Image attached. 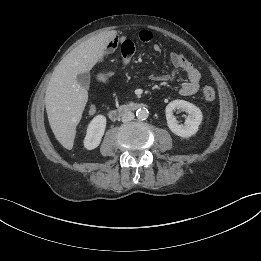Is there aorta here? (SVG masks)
Listing matches in <instances>:
<instances>
[{"mask_svg": "<svg viewBox=\"0 0 261 261\" xmlns=\"http://www.w3.org/2000/svg\"><path fill=\"white\" fill-rule=\"evenodd\" d=\"M148 115H149V112L146 108H139L137 111H136V116L138 119L140 120H145L148 118Z\"/></svg>", "mask_w": 261, "mask_h": 261, "instance_id": "762f6f07", "label": "aorta"}]
</instances>
